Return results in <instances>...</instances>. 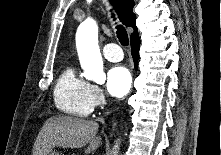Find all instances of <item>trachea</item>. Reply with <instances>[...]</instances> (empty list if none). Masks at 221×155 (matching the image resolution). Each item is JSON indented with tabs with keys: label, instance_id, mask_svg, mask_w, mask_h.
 <instances>
[{
	"label": "trachea",
	"instance_id": "3493384b",
	"mask_svg": "<svg viewBox=\"0 0 221 155\" xmlns=\"http://www.w3.org/2000/svg\"><path fill=\"white\" fill-rule=\"evenodd\" d=\"M117 28V37L119 39V42L123 45V46H128L129 44V39H128V34L125 30V28L122 25H118L116 26Z\"/></svg>",
	"mask_w": 221,
	"mask_h": 155
}]
</instances>
